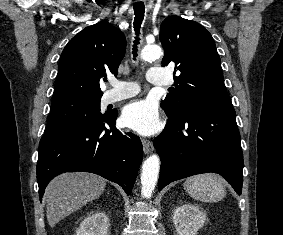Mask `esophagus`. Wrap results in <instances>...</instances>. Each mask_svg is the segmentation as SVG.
<instances>
[{
    "label": "esophagus",
    "instance_id": "obj_1",
    "mask_svg": "<svg viewBox=\"0 0 283 235\" xmlns=\"http://www.w3.org/2000/svg\"><path fill=\"white\" fill-rule=\"evenodd\" d=\"M143 151L145 154H149L153 151V143L150 140L142 139Z\"/></svg>",
    "mask_w": 283,
    "mask_h": 235
}]
</instances>
